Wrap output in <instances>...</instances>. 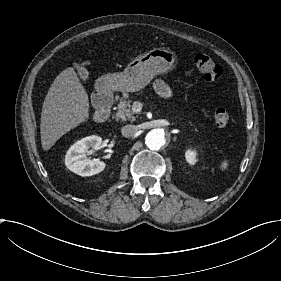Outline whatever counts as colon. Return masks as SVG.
<instances>
[{
    "label": "colon",
    "instance_id": "obj_1",
    "mask_svg": "<svg viewBox=\"0 0 281 281\" xmlns=\"http://www.w3.org/2000/svg\"><path fill=\"white\" fill-rule=\"evenodd\" d=\"M194 61L200 76L205 82L218 85L224 81V70L210 56L198 54L195 56ZM213 118L216 127L225 128L229 124L230 116L225 107H218L214 111Z\"/></svg>",
    "mask_w": 281,
    "mask_h": 281
}]
</instances>
